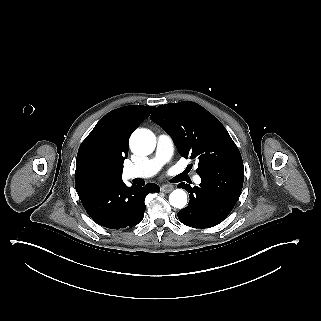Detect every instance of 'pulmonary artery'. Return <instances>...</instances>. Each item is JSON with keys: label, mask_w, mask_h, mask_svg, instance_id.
<instances>
[{"label": "pulmonary artery", "mask_w": 321, "mask_h": 321, "mask_svg": "<svg viewBox=\"0 0 321 321\" xmlns=\"http://www.w3.org/2000/svg\"><path fill=\"white\" fill-rule=\"evenodd\" d=\"M174 151L172 138L166 133H161L157 138V148L153 157L145 158L137 164L127 166L123 169V178L135 177L148 178L155 175L161 167L171 159ZM196 184L201 183L199 176L194 177Z\"/></svg>", "instance_id": "obj_1"}]
</instances>
